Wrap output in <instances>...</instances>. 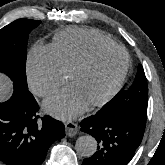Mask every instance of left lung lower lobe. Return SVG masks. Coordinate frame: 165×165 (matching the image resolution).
<instances>
[{"instance_id": "0a47b994", "label": "left lung lower lobe", "mask_w": 165, "mask_h": 165, "mask_svg": "<svg viewBox=\"0 0 165 165\" xmlns=\"http://www.w3.org/2000/svg\"><path fill=\"white\" fill-rule=\"evenodd\" d=\"M80 126L98 142L95 154L82 165H126L142 141L146 118L95 114L83 119Z\"/></svg>"}]
</instances>
